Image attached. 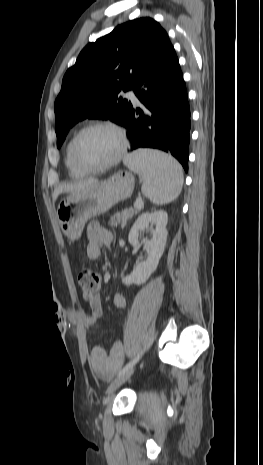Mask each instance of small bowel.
Here are the masks:
<instances>
[{
  "label": "small bowel",
  "instance_id": "1",
  "mask_svg": "<svg viewBox=\"0 0 263 465\" xmlns=\"http://www.w3.org/2000/svg\"><path fill=\"white\" fill-rule=\"evenodd\" d=\"M87 238L86 253L90 260H97L101 256L103 249L110 247L113 242L112 233L98 222H91L88 225ZM113 304L116 308H124L126 299L122 294H116L113 297ZM89 308L90 316L84 319L86 325H89V319L96 322L102 316L103 308L100 296L89 299ZM88 361L95 374L101 378L109 379L119 370L123 363L122 347L119 343H116L110 351H106L103 347L94 346L89 353Z\"/></svg>",
  "mask_w": 263,
  "mask_h": 465
}]
</instances>
